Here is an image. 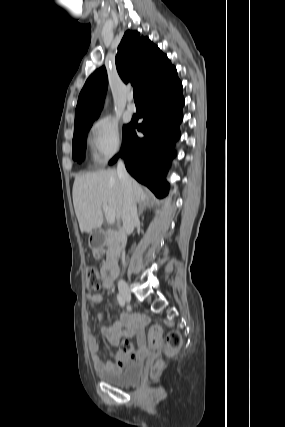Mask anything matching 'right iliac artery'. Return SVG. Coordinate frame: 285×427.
I'll use <instances>...</instances> for the list:
<instances>
[{
  "instance_id": "1",
  "label": "right iliac artery",
  "mask_w": 285,
  "mask_h": 427,
  "mask_svg": "<svg viewBox=\"0 0 285 427\" xmlns=\"http://www.w3.org/2000/svg\"><path fill=\"white\" fill-rule=\"evenodd\" d=\"M117 300H118L120 306L123 307L125 305V301L120 295H117Z\"/></svg>"
}]
</instances>
